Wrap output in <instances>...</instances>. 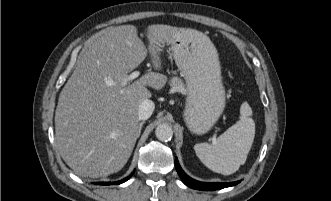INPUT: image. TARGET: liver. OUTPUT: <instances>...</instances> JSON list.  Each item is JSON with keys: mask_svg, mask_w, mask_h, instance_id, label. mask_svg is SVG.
Segmentation results:
<instances>
[{"mask_svg": "<svg viewBox=\"0 0 331 201\" xmlns=\"http://www.w3.org/2000/svg\"><path fill=\"white\" fill-rule=\"evenodd\" d=\"M182 29L148 26L147 49L134 25L108 27L80 55L55 111L57 148L77 175L106 177L127 163L140 135L139 106L151 97L146 86L160 90L167 77L148 72L129 85L124 79L148 51L154 68L161 69L160 52Z\"/></svg>", "mask_w": 331, "mask_h": 201, "instance_id": "1", "label": "liver"}]
</instances>
